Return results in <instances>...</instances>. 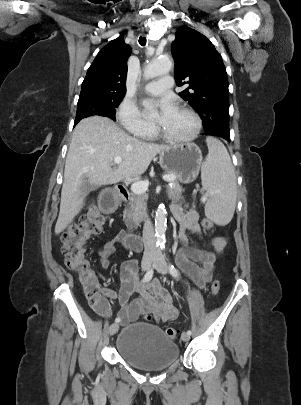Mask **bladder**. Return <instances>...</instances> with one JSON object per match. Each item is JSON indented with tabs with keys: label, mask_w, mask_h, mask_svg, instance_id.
<instances>
[{
	"label": "bladder",
	"mask_w": 301,
	"mask_h": 405,
	"mask_svg": "<svg viewBox=\"0 0 301 405\" xmlns=\"http://www.w3.org/2000/svg\"><path fill=\"white\" fill-rule=\"evenodd\" d=\"M115 348L119 356L144 371H159L172 365L179 356L177 343L152 324L134 322L117 336Z\"/></svg>",
	"instance_id": "1"
}]
</instances>
